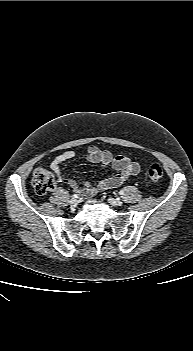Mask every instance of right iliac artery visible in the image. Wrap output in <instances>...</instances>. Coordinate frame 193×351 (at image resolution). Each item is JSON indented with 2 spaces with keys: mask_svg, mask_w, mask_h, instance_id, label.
<instances>
[{
  "mask_svg": "<svg viewBox=\"0 0 193 351\" xmlns=\"http://www.w3.org/2000/svg\"><path fill=\"white\" fill-rule=\"evenodd\" d=\"M72 197L73 198H78V195L77 194H73Z\"/></svg>",
  "mask_w": 193,
  "mask_h": 351,
  "instance_id": "obj_1",
  "label": "right iliac artery"
}]
</instances>
